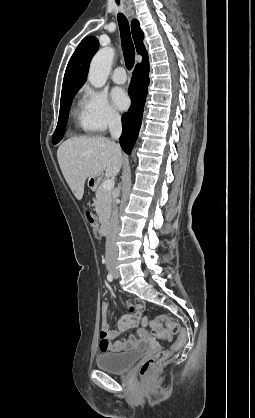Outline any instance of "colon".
Here are the masks:
<instances>
[{
	"label": "colon",
	"instance_id": "obj_1",
	"mask_svg": "<svg viewBox=\"0 0 255 418\" xmlns=\"http://www.w3.org/2000/svg\"><path fill=\"white\" fill-rule=\"evenodd\" d=\"M85 218L88 224L97 231L96 219L90 210L85 211ZM150 327L152 333L158 338L170 340L172 335H177V338L170 348L160 351L152 357L143 359L139 363L137 371L140 376L149 374L158 364L166 360L174 352L180 350L188 339L186 330L182 328L176 320L167 315H161L152 320L150 322Z\"/></svg>",
	"mask_w": 255,
	"mask_h": 418
}]
</instances>
